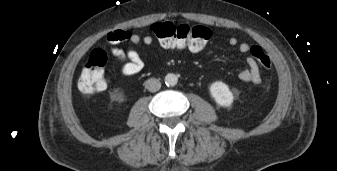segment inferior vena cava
<instances>
[{"label":"inferior vena cava","mask_w":337,"mask_h":171,"mask_svg":"<svg viewBox=\"0 0 337 171\" xmlns=\"http://www.w3.org/2000/svg\"><path fill=\"white\" fill-rule=\"evenodd\" d=\"M146 88L150 92H156L161 88V82L156 78H150L146 81Z\"/></svg>","instance_id":"602c4592"}]
</instances>
